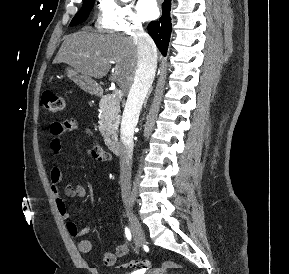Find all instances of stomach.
Listing matches in <instances>:
<instances>
[{
	"instance_id": "1",
	"label": "stomach",
	"mask_w": 289,
	"mask_h": 274,
	"mask_svg": "<svg viewBox=\"0 0 289 274\" xmlns=\"http://www.w3.org/2000/svg\"><path fill=\"white\" fill-rule=\"evenodd\" d=\"M64 72L70 80H72L85 92L90 94L98 93L99 86L90 76L81 73L71 66L66 67Z\"/></svg>"
}]
</instances>
